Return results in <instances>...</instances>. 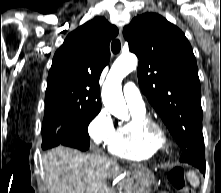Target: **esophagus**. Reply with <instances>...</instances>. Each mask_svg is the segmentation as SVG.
Returning <instances> with one entry per match:
<instances>
[{"label": "esophagus", "mask_w": 221, "mask_h": 193, "mask_svg": "<svg viewBox=\"0 0 221 193\" xmlns=\"http://www.w3.org/2000/svg\"><path fill=\"white\" fill-rule=\"evenodd\" d=\"M119 39L121 41V43L123 42V33H122V29H119Z\"/></svg>", "instance_id": "1"}]
</instances>
